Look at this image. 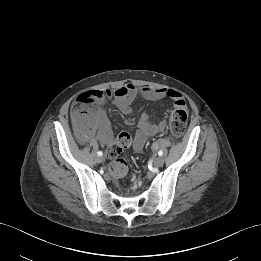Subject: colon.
I'll list each match as a JSON object with an SVG mask.
<instances>
[{"mask_svg":"<svg viewBox=\"0 0 261 261\" xmlns=\"http://www.w3.org/2000/svg\"><path fill=\"white\" fill-rule=\"evenodd\" d=\"M74 116L80 118L84 114H89L92 107L88 103L85 95H80L72 107ZM188 114L185 109H177L170 115V130L173 135L182 136L187 127ZM132 144V138L127 133L120 134L116 140L108 147L106 155L112 160L110 170L113 175L123 177L127 174L128 164L118 157Z\"/></svg>","mask_w":261,"mask_h":261,"instance_id":"colon-1","label":"colon"}]
</instances>
